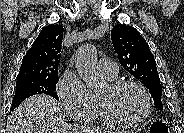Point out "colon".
I'll list each match as a JSON object with an SVG mask.
<instances>
[{
    "mask_svg": "<svg viewBox=\"0 0 184 133\" xmlns=\"http://www.w3.org/2000/svg\"><path fill=\"white\" fill-rule=\"evenodd\" d=\"M150 133H168V127L163 122H155L150 128Z\"/></svg>",
    "mask_w": 184,
    "mask_h": 133,
    "instance_id": "5ec220e1",
    "label": "colon"
}]
</instances>
